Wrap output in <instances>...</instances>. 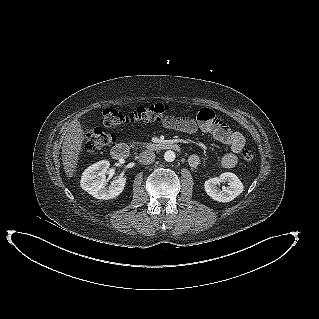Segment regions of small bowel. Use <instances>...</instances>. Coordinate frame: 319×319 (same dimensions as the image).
Segmentation results:
<instances>
[{"instance_id":"1","label":"small bowel","mask_w":319,"mask_h":319,"mask_svg":"<svg viewBox=\"0 0 319 319\" xmlns=\"http://www.w3.org/2000/svg\"><path fill=\"white\" fill-rule=\"evenodd\" d=\"M165 126L177 130L179 132L193 134L198 130L212 135L218 142L227 146L230 153L225 154L221 159V166L225 169L234 167L238 162V154L245 146L244 136L229 125L213 110L204 108L199 111L196 119L190 117H182L171 119L164 122ZM191 167H198L201 158L197 154H192L188 160Z\"/></svg>"}]
</instances>
